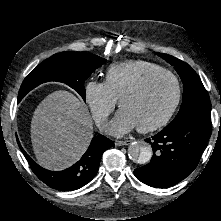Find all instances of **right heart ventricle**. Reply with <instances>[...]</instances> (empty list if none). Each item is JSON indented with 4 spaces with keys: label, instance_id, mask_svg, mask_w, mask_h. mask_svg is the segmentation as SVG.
Returning <instances> with one entry per match:
<instances>
[{
    "label": "right heart ventricle",
    "instance_id": "e07e8e85",
    "mask_svg": "<svg viewBox=\"0 0 221 221\" xmlns=\"http://www.w3.org/2000/svg\"><path fill=\"white\" fill-rule=\"evenodd\" d=\"M163 70V68L151 61L126 60L111 64L105 71V83L113 96H119L129 87L138 82L145 75Z\"/></svg>",
    "mask_w": 221,
    "mask_h": 221
}]
</instances>
